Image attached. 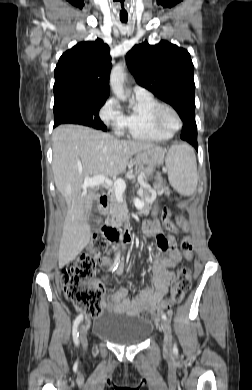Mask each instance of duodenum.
<instances>
[{
  "instance_id": "duodenum-1",
  "label": "duodenum",
  "mask_w": 252,
  "mask_h": 390,
  "mask_svg": "<svg viewBox=\"0 0 252 390\" xmlns=\"http://www.w3.org/2000/svg\"><path fill=\"white\" fill-rule=\"evenodd\" d=\"M100 203L105 210L109 209V199L107 195L103 194L100 196ZM102 229L111 231L112 236H110V240L111 242L116 244L130 242L133 239V236L130 231H119L115 228L113 223L105 225Z\"/></svg>"
}]
</instances>
